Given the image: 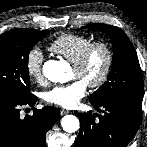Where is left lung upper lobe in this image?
Instances as JSON below:
<instances>
[{
  "instance_id": "5c2ea615",
  "label": "left lung upper lobe",
  "mask_w": 147,
  "mask_h": 147,
  "mask_svg": "<svg viewBox=\"0 0 147 147\" xmlns=\"http://www.w3.org/2000/svg\"><path fill=\"white\" fill-rule=\"evenodd\" d=\"M83 28L100 30L111 39L113 46L112 70L107 81L89 98L93 104L123 101L142 108L143 80L137 54L127 35L118 27L89 24Z\"/></svg>"
}]
</instances>
